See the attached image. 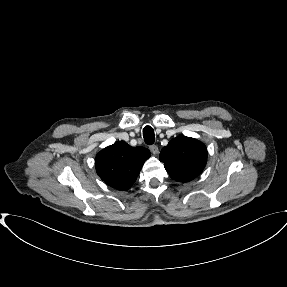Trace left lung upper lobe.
Returning a JSON list of instances; mask_svg holds the SVG:
<instances>
[{
  "label": "left lung upper lobe",
  "instance_id": "left-lung-upper-lobe-1",
  "mask_svg": "<svg viewBox=\"0 0 287 287\" xmlns=\"http://www.w3.org/2000/svg\"><path fill=\"white\" fill-rule=\"evenodd\" d=\"M159 159L172 179L189 182L203 171L207 149L197 139L179 136L161 150Z\"/></svg>",
  "mask_w": 287,
  "mask_h": 287
}]
</instances>
